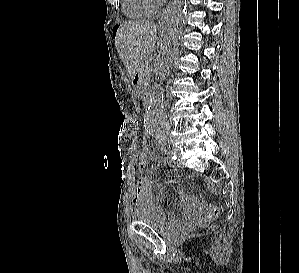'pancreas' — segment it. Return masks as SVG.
<instances>
[{"instance_id":"pancreas-1","label":"pancreas","mask_w":299,"mask_h":273,"mask_svg":"<svg viewBox=\"0 0 299 273\" xmlns=\"http://www.w3.org/2000/svg\"><path fill=\"white\" fill-rule=\"evenodd\" d=\"M140 73L142 81L148 83L150 80V65L146 59L141 62Z\"/></svg>"}]
</instances>
